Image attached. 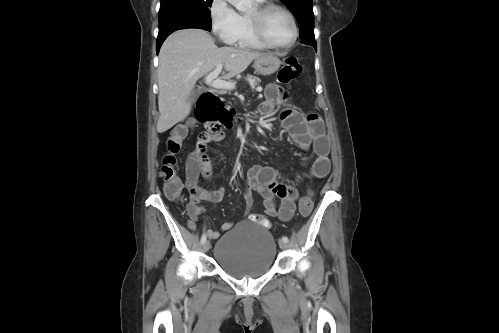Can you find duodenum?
<instances>
[{
	"mask_svg": "<svg viewBox=\"0 0 499 333\" xmlns=\"http://www.w3.org/2000/svg\"><path fill=\"white\" fill-rule=\"evenodd\" d=\"M212 95L216 96L215 94L210 92L203 94L198 99L196 108V115L198 119L200 121L210 120V128L220 126L218 121L214 119V114L217 111V108L214 101L212 100ZM230 125H232V118L230 119Z\"/></svg>",
	"mask_w": 499,
	"mask_h": 333,
	"instance_id": "1",
	"label": "duodenum"
}]
</instances>
